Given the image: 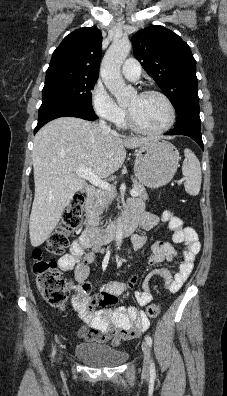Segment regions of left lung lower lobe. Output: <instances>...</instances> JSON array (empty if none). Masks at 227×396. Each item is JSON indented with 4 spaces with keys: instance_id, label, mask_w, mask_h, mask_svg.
I'll list each match as a JSON object with an SVG mask.
<instances>
[{
    "instance_id": "obj_1",
    "label": "left lung lower lobe",
    "mask_w": 227,
    "mask_h": 396,
    "mask_svg": "<svg viewBox=\"0 0 227 396\" xmlns=\"http://www.w3.org/2000/svg\"><path fill=\"white\" fill-rule=\"evenodd\" d=\"M199 102L185 103L177 111V122L173 130L165 135H185L191 137L203 150L200 130Z\"/></svg>"
}]
</instances>
